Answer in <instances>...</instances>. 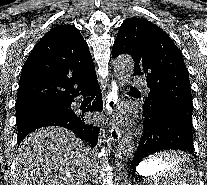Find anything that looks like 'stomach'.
I'll return each instance as SVG.
<instances>
[{
	"instance_id": "obj_1",
	"label": "stomach",
	"mask_w": 207,
	"mask_h": 185,
	"mask_svg": "<svg viewBox=\"0 0 207 185\" xmlns=\"http://www.w3.org/2000/svg\"><path fill=\"white\" fill-rule=\"evenodd\" d=\"M168 164L158 159L149 158L137 167V172L144 177H157L167 170Z\"/></svg>"
}]
</instances>
